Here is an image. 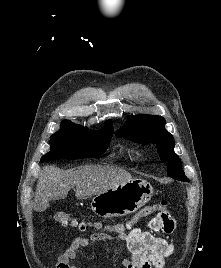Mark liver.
Wrapping results in <instances>:
<instances>
[{"instance_id": "1", "label": "liver", "mask_w": 221, "mask_h": 268, "mask_svg": "<svg viewBox=\"0 0 221 268\" xmlns=\"http://www.w3.org/2000/svg\"><path fill=\"white\" fill-rule=\"evenodd\" d=\"M132 179L124 169L112 166H82L67 171L45 166L36 186L34 209L39 212L46 210L49 201L65 199L73 187H76V198L83 200Z\"/></svg>"}]
</instances>
